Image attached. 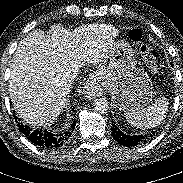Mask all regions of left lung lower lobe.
Returning <instances> with one entry per match:
<instances>
[{
	"label": "left lung lower lobe",
	"instance_id": "obj_1",
	"mask_svg": "<svg viewBox=\"0 0 183 183\" xmlns=\"http://www.w3.org/2000/svg\"><path fill=\"white\" fill-rule=\"evenodd\" d=\"M111 131H112V136L115 139V141H117L120 145H123L126 147L136 146V145L140 144L143 140L147 139V136L144 137L142 135H136V136L126 135L123 132H121L120 130H118L116 125L113 123L111 126ZM150 136H152V134H150Z\"/></svg>",
	"mask_w": 183,
	"mask_h": 183
}]
</instances>
